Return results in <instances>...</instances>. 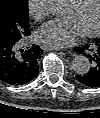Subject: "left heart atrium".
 Returning a JSON list of instances; mask_svg holds the SVG:
<instances>
[{
	"label": "left heart atrium",
	"mask_w": 100,
	"mask_h": 118,
	"mask_svg": "<svg viewBox=\"0 0 100 118\" xmlns=\"http://www.w3.org/2000/svg\"><path fill=\"white\" fill-rule=\"evenodd\" d=\"M83 32L74 19H54L42 26L37 37L40 41L55 47H64L76 43Z\"/></svg>",
	"instance_id": "39dd6f15"
}]
</instances>
